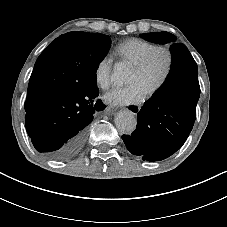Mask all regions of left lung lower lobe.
Instances as JSON below:
<instances>
[{
    "label": "left lung lower lobe",
    "instance_id": "obj_1",
    "mask_svg": "<svg viewBox=\"0 0 227 227\" xmlns=\"http://www.w3.org/2000/svg\"><path fill=\"white\" fill-rule=\"evenodd\" d=\"M171 55V70L164 84L137 114L135 131L122 136L127 149L147 161L174 154L186 141L196 118L200 96L197 65L185 46Z\"/></svg>",
    "mask_w": 227,
    "mask_h": 227
}]
</instances>
